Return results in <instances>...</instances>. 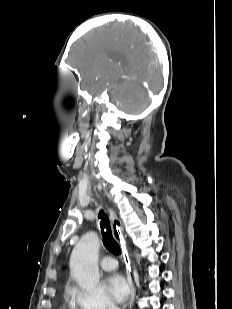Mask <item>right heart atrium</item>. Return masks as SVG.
<instances>
[{
  "label": "right heart atrium",
  "mask_w": 232,
  "mask_h": 309,
  "mask_svg": "<svg viewBox=\"0 0 232 309\" xmlns=\"http://www.w3.org/2000/svg\"><path fill=\"white\" fill-rule=\"evenodd\" d=\"M67 295L75 309H118L111 297L100 288L69 286Z\"/></svg>",
  "instance_id": "obj_1"
}]
</instances>
